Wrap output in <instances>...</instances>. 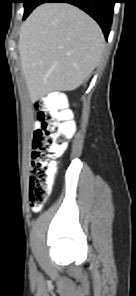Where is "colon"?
<instances>
[{
	"instance_id": "1",
	"label": "colon",
	"mask_w": 136,
	"mask_h": 296,
	"mask_svg": "<svg viewBox=\"0 0 136 296\" xmlns=\"http://www.w3.org/2000/svg\"><path fill=\"white\" fill-rule=\"evenodd\" d=\"M39 128L33 137L29 202L36 210L46 201L56 170V158L67 149L75 124L52 97L36 106Z\"/></svg>"
}]
</instances>
